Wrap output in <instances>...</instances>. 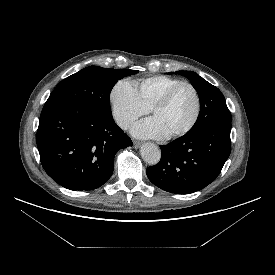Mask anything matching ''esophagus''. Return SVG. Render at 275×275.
Wrapping results in <instances>:
<instances>
[{"mask_svg": "<svg viewBox=\"0 0 275 275\" xmlns=\"http://www.w3.org/2000/svg\"><path fill=\"white\" fill-rule=\"evenodd\" d=\"M133 146H134L135 149H138L141 146V142L134 140L133 141Z\"/></svg>", "mask_w": 275, "mask_h": 275, "instance_id": "esophagus-1", "label": "esophagus"}]
</instances>
